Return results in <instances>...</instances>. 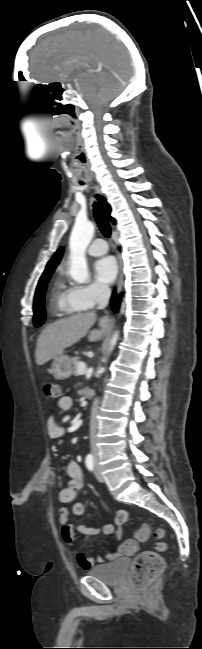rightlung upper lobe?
Instances as JSON below:
<instances>
[{"instance_id":"right-lung-upper-lobe-1","label":"right lung upper lobe","mask_w":202,"mask_h":649,"mask_svg":"<svg viewBox=\"0 0 202 649\" xmlns=\"http://www.w3.org/2000/svg\"><path fill=\"white\" fill-rule=\"evenodd\" d=\"M96 197H97V199L99 200V202H100V204H101L103 210L105 211L106 215L110 218L111 222H112V223H115V220L110 216V213H111V207H110V205L107 203V201L105 200V198H103V197L100 196V195H97ZM63 251H64V247H60V248L55 252V254L53 255L52 259L47 263V266H46V269H45L43 275H45V274H47V273H49V272H54L56 266L59 264V262H60V260H61V257H62V255H63Z\"/></svg>"}]
</instances>
